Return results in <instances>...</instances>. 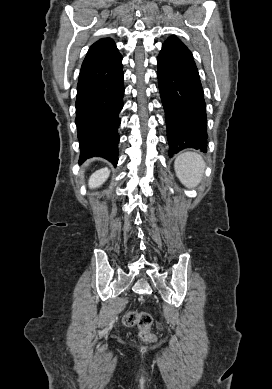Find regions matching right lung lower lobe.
Returning <instances> with one entry per match:
<instances>
[{"instance_id":"right-lung-lower-lobe-1","label":"right lung lower lobe","mask_w":272,"mask_h":389,"mask_svg":"<svg viewBox=\"0 0 272 389\" xmlns=\"http://www.w3.org/2000/svg\"><path fill=\"white\" fill-rule=\"evenodd\" d=\"M122 56L81 69L76 95V125L80 141V159L103 157L118 161L120 125L123 107Z\"/></svg>"}]
</instances>
